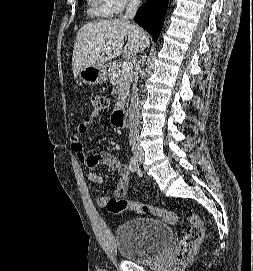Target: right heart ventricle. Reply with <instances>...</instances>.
<instances>
[{"instance_id": "right-heart-ventricle-1", "label": "right heart ventricle", "mask_w": 253, "mask_h": 271, "mask_svg": "<svg viewBox=\"0 0 253 271\" xmlns=\"http://www.w3.org/2000/svg\"><path fill=\"white\" fill-rule=\"evenodd\" d=\"M89 12L96 17H110L115 11L106 0H88Z\"/></svg>"}]
</instances>
